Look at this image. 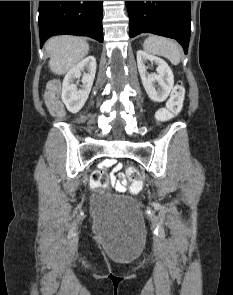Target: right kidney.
Instances as JSON below:
<instances>
[{
	"instance_id": "1",
	"label": "right kidney",
	"mask_w": 233,
	"mask_h": 295,
	"mask_svg": "<svg viewBox=\"0 0 233 295\" xmlns=\"http://www.w3.org/2000/svg\"><path fill=\"white\" fill-rule=\"evenodd\" d=\"M86 69L87 73L82 76V86L77 89L74 80L81 77V72ZM96 73V59L94 56H88L65 75L62 84L61 98L66 108L71 113H77L85 104L91 91Z\"/></svg>"
}]
</instances>
